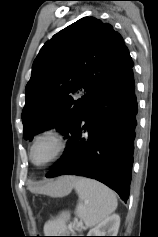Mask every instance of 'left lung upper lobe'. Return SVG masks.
Returning <instances> with one entry per match:
<instances>
[{"mask_svg":"<svg viewBox=\"0 0 158 237\" xmlns=\"http://www.w3.org/2000/svg\"><path fill=\"white\" fill-rule=\"evenodd\" d=\"M133 65L121 35L94 17L55 34L41 48L26 86L25 139L53 126L68 138L89 102Z\"/></svg>","mask_w":158,"mask_h":237,"instance_id":"5c2ea615","label":"left lung upper lobe"}]
</instances>
